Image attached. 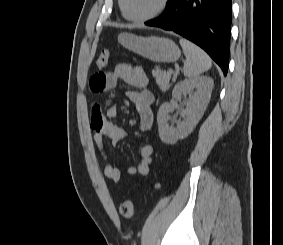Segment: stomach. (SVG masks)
Wrapping results in <instances>:
<instances>
[{"label": "stomach", "mask_w": 283, "mask_h": 245, "mask_svg": "<svg viewBox=\"0 0 283 245\" xmlns=\"http://www.w3.org/2000/svg\"><path fill=\"white\" fill-rule=\"evenodd\" d=\"M118 41L126 49L155 62H175L181 55L179 47L167 38L121 33Z\"/></svg>", "instance_id": "obj_1"}]
</instances>
